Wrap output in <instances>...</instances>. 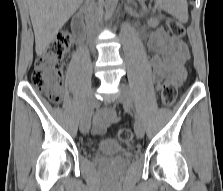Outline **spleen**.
<instances>
[{
	"instance_id": "spleen-1",
	"label": "spleen",
	"mask_w": 223,
	"mask_h": 191,
	"mask_svg": "<svg viewBox=\"0 0 223 191\" xmlns=\"http://www.w3.org/2000/svg\"><path fill=\"white\" fill-rule=\"evenodd\" d=\"M170 12L178 17L181 21L186 22L188 19V8L186 0H170Z\"/></svg>"
}]
</instances>
